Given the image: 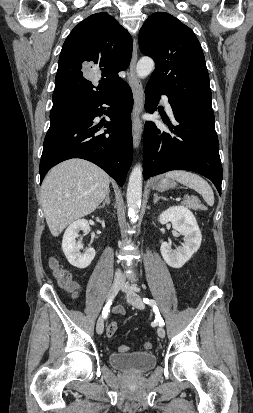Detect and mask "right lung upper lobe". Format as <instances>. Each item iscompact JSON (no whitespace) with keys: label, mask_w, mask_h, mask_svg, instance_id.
I'll return each mask as SVG.
<instances>
[{"label":"right lung upper lobe","mask_w":253,"mask_h":413,"mask_svg":"<svg viewBox=\"0 0 253 413\" xmlns=\"http://www.w3.org/2000/svg\"><path fill=\"white\" fill-rule=\"evenodd\" d=\"M132 47L127 30L105 12L75 26L59 56L50 117L76 113L121 86L118 72L128 67ZM87 71L95 79L85 78Z\"/></svg>","instance_id":"cb5924a9"}]
</instances>
